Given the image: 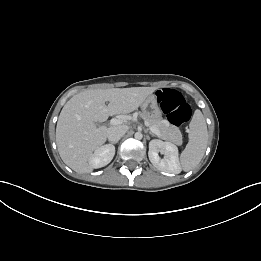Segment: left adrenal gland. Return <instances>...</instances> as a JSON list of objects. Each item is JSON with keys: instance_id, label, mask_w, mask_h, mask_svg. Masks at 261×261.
Masks as SVG:
<instances>
[{"instance_id": "left-adrenal-gland-1", "label": "left adrenal gland", "mask_w": 261, "mask_h": 261, "mask_svg": "<svg viewBox=\"0 0 261 261\" xmlns=\"http://www.w3.org/2000/svg\"><path fill=\"white\" fill-rule=\"evenodd\" d=\"M146 132H147V131H146ZM149 134H150L151 136H153V137L155 136V135H154L153 133H151V132H149Z\"/></svg>"}]
</instances>
